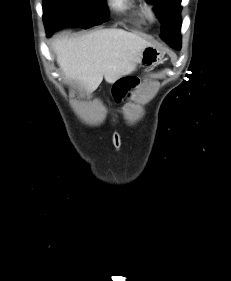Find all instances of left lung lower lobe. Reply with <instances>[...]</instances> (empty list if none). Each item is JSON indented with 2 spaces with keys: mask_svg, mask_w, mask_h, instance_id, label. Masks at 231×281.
Returning <instances> with one entry per match:
<instances>
[{
  "mask_svg": "<svg viewBox=\"0 0 231 281\" xmlns=\"http://www.w3.org/2000/svg\"><path fill=\"white\" fill-rule=\"evenodd\" d=\"M171 36L173 38L172 43L176 46L177 49H180L181 47V38L179 35V31H174L171 33Z\"/></svg>",
  "mask_w": 231,
  "mask_h": 281,
  "instance_id": "left-lung-lower-lobe-1",
  "label": "left lung lower lobe"
}]
</instances>
